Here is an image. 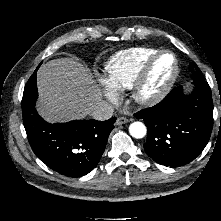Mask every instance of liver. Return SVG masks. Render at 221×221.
<instances>
[{"label": "liver", "mask_w": 221, "mask_h": 221, "mask_svg": "<svg viewBox=\"0 0 221 221\" xmlns=\"http://www.w3.org/2000/svg\"><path fill=\"white\" fill-rule=\"evenodd\" d=\"M37 110L49 123L82 119L102 102L92 75L74 58L53 59L37 73Z\"/></svg>", "instance_id": "liver-1"}]
</instances>
